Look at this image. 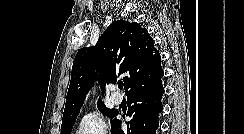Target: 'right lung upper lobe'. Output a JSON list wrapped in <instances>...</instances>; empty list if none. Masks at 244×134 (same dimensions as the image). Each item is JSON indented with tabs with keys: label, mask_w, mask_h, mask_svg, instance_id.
<instances>
[{
	"label": "right lung upper lobe",
	"mask_w": 244,
	"mask_h": 134,
	"mask_svg": "<svg viewBox=\"0 0 244 134\" xmlns=\"http://www.w3.org/2000/svg\"><path fill=\"white\" fill-rule=\"evenodd\" d=\"M160 61V54L145 28L137 22H113L94 47L82 48L76 54L63 118L79 114L96 80L104 89L122 75L127 94L163 75ZM102 103L98 101V105Z\"/></svg>",
	"instance_id": "1"
}]
</instances>
